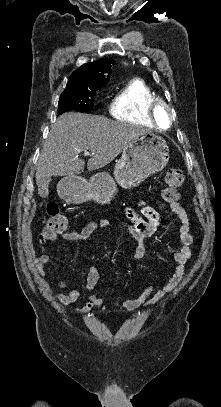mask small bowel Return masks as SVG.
Returning <instances> with one entry per match:
<instances>
[{
  "instance_id": "small-bowel-1",
  "label": "small bowel",
  "mask_w": 221,
  "mask_h": 407,
  "mask_svg": "<svg viewBox=\"0 0 221 407\" xmlns=\"http://www.w3.org/2000/svg\"><path fill=\"white\" fill-rule=\"evenodd\" d=\"M137 207L140 209L139 214L134 208L127 207L125 209L126 221H117L136 241L137 245L134 248V257L141 259L145 256V247L143 240L153 236L159 226V216L157 212L144 201H139ZM171 211L177 216L179 223L177 224V232L179 239V247L172 251V260L175 263L173 273L166 277L160 288L154 284L146 287L138 297L127 299L122 303L116 300V293H110L107 296H101L93 293L99 281V272L95 266H91L85 275L86 289L89 292L87 302L79 309L75 315H85L92 311L95 307L101 306L105 299H110V304L114 307L124 308L127 310H138L154 305L167 294L172 292L185 278L186 264L192 257L194 238L190 233L189 217L186 209L178 202L170 205ZM111 223L106 219H98L87 223L78 232H69L61 235L64 241L84 242L98 229H110ZM45 240L40 238V244ZM55 263L54 254H44L40 256L35 267L40 277H44L45 268L53 267ZM55 285L60 289L66 290L65 293H55L54 299L60 306H68L74 304L80 297V291L72 288L63 279H57Z\"/></svg>"
}]
</instances>
